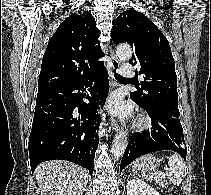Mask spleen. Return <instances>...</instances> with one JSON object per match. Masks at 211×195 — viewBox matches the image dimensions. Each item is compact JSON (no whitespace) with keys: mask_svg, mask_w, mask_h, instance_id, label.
<instances>
[{"mask_svg":"<svg viewBox=\"0 0 211 195\" xmlns=\"http://www.w3.org/2000/svg\"><path fill=\"white\" fill-rule=\"evenodd\" d=\"M168 165L170 166L169 173H157L161 175V177H167L170 182L175 185H179L184 176V161L183 159L176 153H174L168 160Z\"/></svg>","mask_w":211,"mask_h":195,"instance_id":"1","label":"spleen"}]
</instances>
